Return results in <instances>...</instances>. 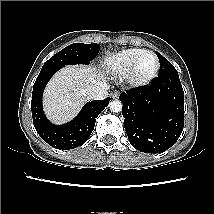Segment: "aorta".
<instances>
[{"label": "aorta", "instance_id": "obj_1", "mask_svg": "<svg viewBox=\"0 0 214 214\" xmlns=\"http://www.w3.org/2000/svg\"><path fill=\"white\" fill-rule=\"evenodd\" d=\"M110 110L114 113L120 112L122 110V102L120 100H113L109 104Z\"/></svg>", "mask_w": 214, "mask_h": 214}]
</instances>
